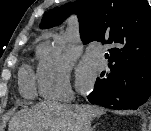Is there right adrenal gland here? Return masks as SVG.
<instances>
[{
    "mask_svg": "<svg viewBox=\"0 0 151 131\" xmlns=\"http://www.w3.org/2000/svg\"><path fill=\"white\" fill-rule=\"evenodd\" d=\"M95 127H96V125H94V126L90 129V131H95Z\"/></svg>",
    "mask_w": 151,
    "mask_h": 131,
    "instance_id": "right-adrenal-gland-1",
    "label": "right adrenal gland"
}]
</instances>
